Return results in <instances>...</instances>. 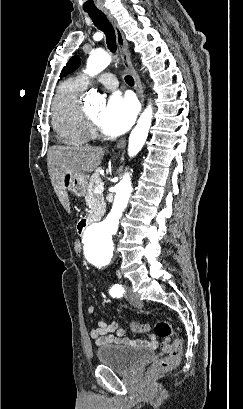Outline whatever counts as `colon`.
Returning <instances> with one entry per match:
<instances>
[{"label": "colon", "instance_id": "5ec220e1", "mask_svg": "<svg viewBox=\"0 0 243 409\" xmlns=\"http://www.w3.org/2000/svg\"><path fill=\"white\" fill-rule=\"evenodd\" d=\"M74 251L79 254L81 251V243L76 240L73 244ZM132 329L136 332H147L149 326L140 322H133ZM155 334L163 339L162 345L169 346V354L158 360L152 367L154 372H163L170 370L177 366L182 357L183 342L180 337L176 338L171 342V336L174 334V329L172 324L167 320H160L155 324L154 327Z\"/></svg>", "mask_w": 243, "mask_h": 409}]
</instances>
